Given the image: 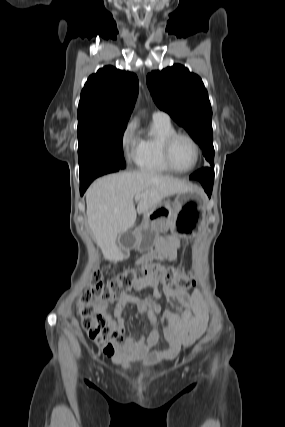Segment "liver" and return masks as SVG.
<instances>
[{"label": "liver", "mask_w": 285, "mask_h": 427, "mask_svg": "<svg viewBox=\"0 0 285 427\" xmlns=\"http://www.w3.org/2000/svg\"><path fill=\"white\" fill-rule=\"evenodd\" d=\"M192 189L183 180L144 171L112 174L93 182L86 192V213L104 258H119L116 238L135 224L137 213H146L166 197ZM135 196H140L137 210Z\"/></svg>", "instance_id": "1"}]
</instances>
